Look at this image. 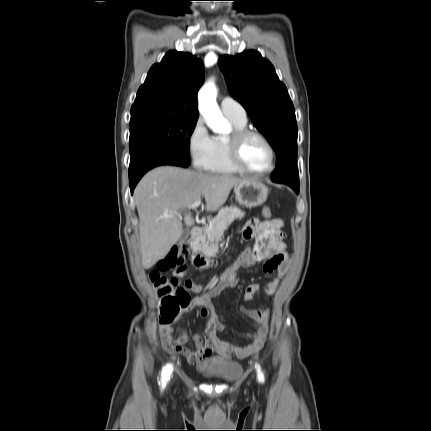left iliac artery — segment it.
I'll return each mask as SVG.
<instances>
[{
  "label": "left iliac artery",
  "instance_id": "left-iliac-artery-1",
  "mask_svg": "<svg viewBox=\"0 0 431 431\" xmlns=\"http://www.w3.org/2000/svg\"><path fill=\"white\" fill-rule=\"evenodd\" d=\"M256 368H257V371H258V378H259V380L263 381L264 378H263V374L261 372V369H260L259 365H257Z\"/></svg>",
  "mask_w": 431,
  "mask_h": 431
}]
</instances>
